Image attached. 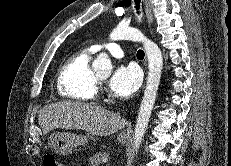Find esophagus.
Returning a JSON list of instances; mask_svg holds the SVG:
<instances>
[{
    "mask_svg": "<svg viewBox=\"0 0 231 166\" xmlns=\"http://www.w3.org/2000/svg\"><path fill=\"white\" fill-rule=\"evenodd\" d=\"M145 6V12L147 16L148 25L151 28L153 24L152 6L150 0H143Z\"/></svg>",
    "mask_w": 231,
    "mask_h": 166,
    "instance_id": "esophagus-1",
    "label": "esophagus"
}]
</instances>
